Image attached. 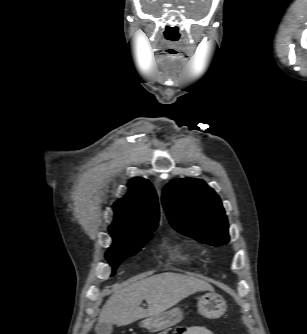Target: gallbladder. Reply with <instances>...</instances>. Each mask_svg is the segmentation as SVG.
Wrapping results in <instances>:
<instances>
[{
  "instance_id": "gallbladder-1",
  "label": "gallbladder",
  "mask_w": 307,
  "mask_h": 334,
  "mask_svg": "<svg viewBox=\"0 0 307 334\" xmlns=\"http://www.w3.org/2000/svg\"><path fill=\"white\" fill-rule=\"evenodd\" d=\"M113 330L112 324L108 323H97L95 326L96 334H111Z\"/></svg>"
}]
</instances>
